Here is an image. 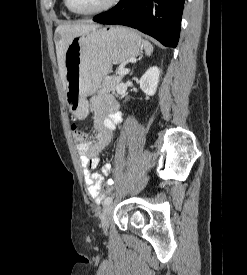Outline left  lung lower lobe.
<instances>
[{
    "instance_id": "1",
    "label": "left lung lower lobe",
    "mask_w": 247,
    "mask_h": 275,
    "mask_svg": "<svg viewBox=\"0 0 247 275\" xmlns=\"http://www.w3.org/2000/svg\"><path fill=\"white\" fill-rule=\"evenodd\" d=\"M184 0H120L93 18L103 24L129 26L148 34L164 46H177Z\"/></svg>"
}]
</instances>
